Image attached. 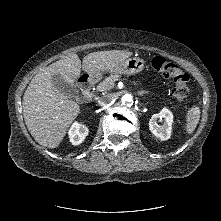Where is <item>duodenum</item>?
Masks as SVG:
<instances>
[{
    "label": "duodenum",
    "instance_id": "duodenum-1",
    "mask_svg": "<svg viewBox=\"0 0 221 221\" xmlns=\"http://www.w3.org/2000/svg\"><path fill=\"white\" fill-rule=\"evenodd\" d=\"M78 87L81 90L85 100L91 99V78L90 76L83 74L78 79Z\"/></svg>",
    "mask_w": 221,
    "mask_h": 221
}]
</instances>
